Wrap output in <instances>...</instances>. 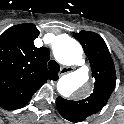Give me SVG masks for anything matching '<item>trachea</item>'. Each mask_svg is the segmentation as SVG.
<instances>
[{"instance_id":"obj_1","label":"trachea","mask_w":124,"mask_h":124,"mask_svg":"<svg viewBox=\"0 0 124 124\" xmlns=\"http://www.w3.org/2000/svg\"><path fill=\"white\" fill-rule=\"evenodd\" d=\"M48 69L50 70V71H52V72H59V70H60V66H59V64L56 62V61H54V60H51V61H49V63H48Z\"/></svg>"}]
</instances>
